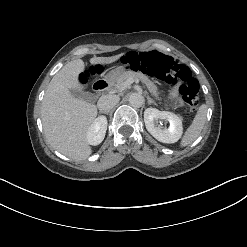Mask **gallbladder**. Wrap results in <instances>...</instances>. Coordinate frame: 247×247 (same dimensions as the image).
I'll list each match as a JSON object with an SVG mask.
<instances>
[{
  "instance_id": "gallbladder-1",
  "label": "gallbladder",
  "mask_w": 247,
  "mask_h": 247,
  "mask_svg": "<svg viewBox=\"0 0 247 247\" xmlns=\"http://www.w3.org/2000/svg\"><path fill=\"white\" fill-rule=\"evenodd\" d=\"M71 94L78 99L85 100L87 102H92L95 98L94 94L85 91H79L77 89H72Z\"/></svg>"
}]
</instances>
